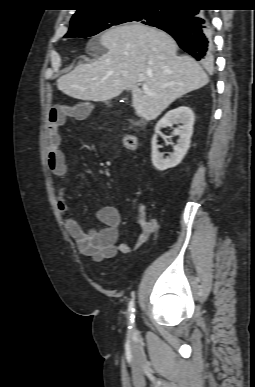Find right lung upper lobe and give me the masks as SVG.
Listing matches in <instances>:
<instances>
[{
    "label": "right lung upper lobe",
    "mask_w": 255,
    "mask_h": 387,
    "mask_svg": "<svg viewBox=\"0 0 255 387\" xmlns=\"http://www.w3.org/2000/svg\"><path fill=\"white\" fill-rule=\"evenodd\" d=\"M80 8L73 15L71 21L81 19L101 11L122 6H163L177 7L196 4L199 0H79Z\"/></svg>",
    "instance_id": "right-lung-upper-lobe-1"
}]
</instances>
